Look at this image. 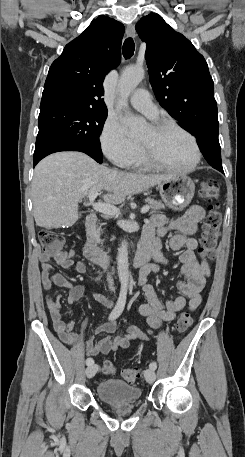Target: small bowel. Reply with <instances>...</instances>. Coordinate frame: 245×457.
<instances>
[{"label":"small bowel","instance_id":"obj_1","mask_svg":"<svg viewBox=\"0 0 245 457\" xmlns=\"http://www.w3.org/2000/svg\"><path fill=\"white\" fill-rule=\"evenodd\" d=\"M205 214V209L199 205L190 207L184 216L174 220H170L162 213H156L144 228L142 247L152 250V257L155 261V263L149 264L141 270L138 280V287L146 298V303L140 304L138 311L142 316L146 317L150 327L148 331L144 332L135 326H128L122 335L115 337L107 335L95 342L92 337L85 338L81 334L74 332V322L65 321L62 317L60 298L46 294L47 307L58 337L67 345L74 346L87 355L107 354L118 349L128 348L130 342L134 339L147 340L154 329L158 328L163 322L174 320L176 313L186 305H188L189 309L195 310L201 303V291L210 273L207 261L205 259L198 260L195 254L198 248L196 235L199 233L200 223L204 220ZM172 230L177 232L170 239V247L173 250L184 249L180 255V261L182 263L181 272L185 279L177 284L182 295L163 304L156 295L154 288L147 284L146 280L149 274L159 271L160 265L167 263V259L160 251V240ZM71 255L72 253L65 246L53 257L44 254L40 256L43 289L48 292L53 286L68 288L69 304L75 303L82 297L85 291L84 286L73 285L61 274L54 273L49 261L53 258L63 268L75 267L77 272L81 274L87 273L86 265L82 262L74 263ZM93 297L97 302L112 308V311L116 307L112 301L100 293H94ZM117 318H109L106 323L96 330V333L112 334L116 330ZM86 325L87 321L85 320L81 325L82 329Z\"/></svg>","mask_w":245,"mask_h":457}]
</instances>
